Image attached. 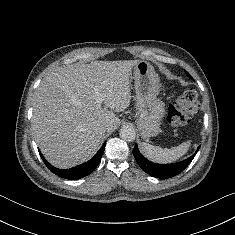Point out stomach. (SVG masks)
Instances as JSON below:
<instances>
[{"label": "stomach", "instance_id": "stomach-1", "mask_svg": "<svg viewBox=\"0 0 235 235\" xmlns=\"http://www.w3.org/2000/svg\"><path fill=\"white\" fill-rule=\"evenodd\" d=\"M137 126L144 139L160 132V121L165 114L164 103L157 98L160 80L153 66L139 61L134 67Z\"/></svg>", "mask_w": 235, "mask_h": 235}]
</instances>
